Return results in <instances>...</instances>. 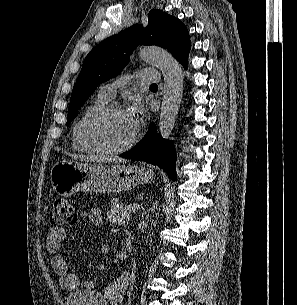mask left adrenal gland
<instances>
[{"mask_svg": "<svg viewBox=\"0 0 297 305\" xmlns=\"http://www.w3.org/2000/svg\"><path fill=\"white\" fill-rule=\"evenodd\" d=\"M146 213V211H145V209L143 208V213H142V215H144Z\"/></svg>", "mask_w": 297, "mask_h": 305, "instance_id": "obj_1", "label": "left adrenal gland"}]
</instances>
